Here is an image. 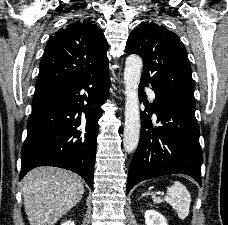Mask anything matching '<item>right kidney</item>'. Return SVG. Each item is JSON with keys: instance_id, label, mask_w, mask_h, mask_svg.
I'll return each mask as SVG.
<instances>
[{"instance_id": "ca27d5eb", "label": "right kidney", "mask_w": 228, "mask_h": 225, "mask_svg": "<svg viewBox=\"0 0 228 225\" xmlns=\"http://www.w3.org/2000/svg\"><path fill=\"white\" fill-rule=\"evenodd\" d=\"M62 225H75L74 221H66V223H62Z\"/></svg>"}]
</instances>
